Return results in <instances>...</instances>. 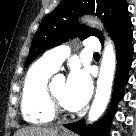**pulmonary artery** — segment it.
<instances>
[{"mask_svg":"<svg viewBox=\"0 0 136 136\" xmlns=\"http://www.w3.org/2000/svg\"><path fill=\"white\" fill-rule=\"evenodd\" d=\"M84 47L90 51L93 52H99L101 49L100 42L95 37H89L87 38L84 43ZM70 50L67 46L62 45L58 46L56 48H53L49 51H47L42 57L41 61L51 68L52 70L56 71L62 62L65 60V58L69 55Z\"/></svg>","mask_w":136,"mask_h":136,"instance_id":"obj_1","label":"pulmonary artery"}]
</instances>
